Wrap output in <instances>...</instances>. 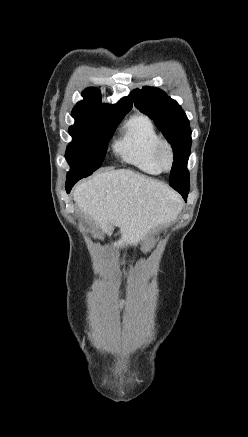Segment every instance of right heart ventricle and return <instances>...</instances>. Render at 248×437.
<instances>
[{
    "label": "right heart ventricle",
    "mask_w": 248,
    "mask_h": 437,
    "mask_svg": "<svg viewBox=\"0 0 248 437\" xmlns=\"http://www.w3.org/2000/svg\"><path fill=\"white\" fill-rule=\"evenodd\" d=\"M160 140L154 122L148 116L138 114L125 122L114 149L124 162L146 174L158 175L162 170L156 161L155 150Z\"/></svg>",
    "instance_id": "right-heart-ventricle-1"
}]
</instances>
